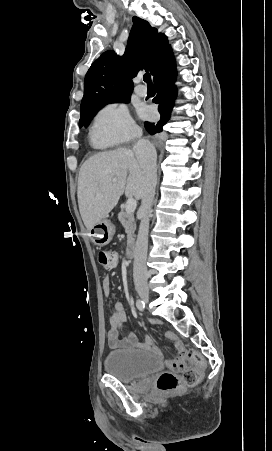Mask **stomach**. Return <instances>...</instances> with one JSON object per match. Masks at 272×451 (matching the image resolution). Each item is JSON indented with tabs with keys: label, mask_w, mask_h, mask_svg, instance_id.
<instances>
[{
	"label": "stomach",
	"mask_w": 272,
	"mask_h": 451,
	"mask_svg": "<svg viewBox=\"0 0 272 451\" xmlns=\"http://www.w3.org/2000/svg\"><path fill=\"white\" fill-rule=\"evenodd\" d=\"M114 233L115 227L111 224L110 220H101V222H97L95 226L89 229L91 241H93L95 245H99V247L110 243Z\"/></svg>",
	"instance_id": "obj_1"
}]
</instances>
